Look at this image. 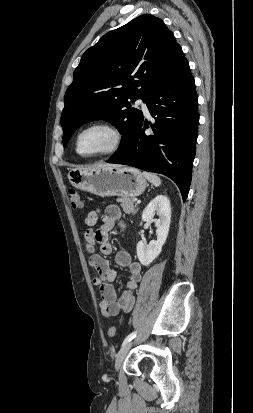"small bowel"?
I'll use <instances>...</instances> for the list:
<instances>
[{"label": "small bowel", "instance_id": "obj_1", "mask_svg": "<svg viewBox=\"0 0 253 413\" xmlns=\"http://www.w3.org/2000/svg\"><path fill=\"white\" fill-rule=\"evenodd\" d=\"M102 218V225L94 228L99 216ZM88 228L84 233V241L87 251L90 253L88 263L95 271L96 276L93 279L95 286L99 287L102 300L99 303L100 311L105 317H113L123 311L128 313L132 310L135 302V291L142 277V267L140 263L132 261L129 250L122 249L117 252L115 262L120 267H126L129 270V277L126 281V290L120 297L117 296L112 282L116 278V271L111 268L109 262L100 254L95 252V245L103 255H109L112 252L109 243V232L117 225L120 232L125 234L126 225L121 219V210L116 205L107 206L101 213L100 210L89 212L85 220Z\"/></svg>", "mask_w": 253, "mask_h": 413}]
</instances>
